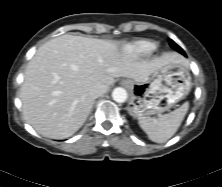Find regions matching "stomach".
<instances>
[{"label":"stomach","mask_w":222,"mask_h":187,"mask_svg":"<svg viewBox=\"0 0 222 187\" xmlns=\"http://www.w3.org/2000/svg\"><path fill=\"white\" fill-rule=\"evenodd\" d=\"M131 97L128 113L136 118L159 115L184 99L191 89V76L186 64L170 63L145 81H127Z\"/></svg>","instance_id":"obj_1"}]
</instances>
